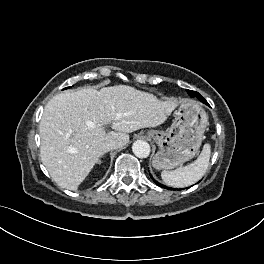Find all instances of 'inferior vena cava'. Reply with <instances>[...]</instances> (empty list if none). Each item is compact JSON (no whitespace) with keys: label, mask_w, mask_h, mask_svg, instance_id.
Returning a JSON list of instances; mask_svg holds the SVG:
<instances>
[{"label":"inferior vena cava","mask_w":264,"mask_h":264,"mask_svg":"<svg viewBox=\"0 0 264 264\" xmlns=\"http://www.w3.org/2000/svg\"><path fill=\"white\" fill-rule=\"evenodd\" d=\"M116 148H118V144L114 140H108L102 145L103 151H106V152L116 149Z\"/></svg>","instance_id":"inferior-vena-cava-1"}]
</instances>
